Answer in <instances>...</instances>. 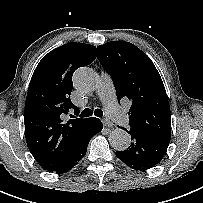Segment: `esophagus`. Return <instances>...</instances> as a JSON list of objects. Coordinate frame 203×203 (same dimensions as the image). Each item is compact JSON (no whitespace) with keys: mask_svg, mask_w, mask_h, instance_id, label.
Instances as JSON below:
<instances>
[{"mask_svg":"<svg viewBox=\"0 0 203 203\" xmlns=\"http://www.w3.org/2000/svg\"><path fill=\"white\" fill-rule=\"evenodd\" d=\"M102 123L106 127H113V123L110 120H108L107 118L103 119Z\"/></svg>","mask_w":203,"mask_h":203,"instance_id":"34e87169","label":"esophagus"}]
</instances>
